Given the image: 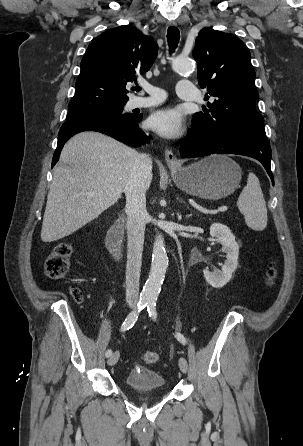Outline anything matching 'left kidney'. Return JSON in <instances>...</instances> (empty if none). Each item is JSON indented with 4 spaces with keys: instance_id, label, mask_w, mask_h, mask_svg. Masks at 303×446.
<instances>
[{
    "instance_id": "1",
    "label": "left kidney",
    "mask_w": 303,
    "mask_h": 446,
    "mask_svg": "<svg viewBox=\"0 0 303 446\" xmlns=\"http://www.w3.org/2000/svg\"><path fill=\"white\" fill-rule=\"evenodd\" d=\"M210 235L215 237L222 245V250L226 253V260L222 266V270H214L213 272L205 269L203 271L206 281L214 288H221L226 285L238 265L239 245L235 241V236L230 229L223 224L214 223L210 226Z\"/></svg>"
}]
</instances>
